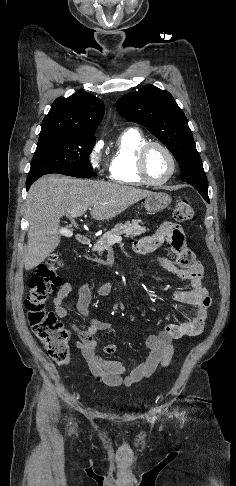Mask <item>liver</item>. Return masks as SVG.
<instances>
[{"label":"liver","instance_id":"6515ba94","mask_svg":"<svg viewBox=\"0 0 236 486\" xmlns=\"http://www.w3.org/2000/svg\"><path fill=\"white\" fill-rule=\"evenodd\" d=\"M151 194L104 181L57 174L41 177L31 186L26 200L29 230L25 269L38 266L56 249L60 243V218L72 210L92 207L95 220H109Z\"/></svg>","mask_w":236,"mask_h":486}]
</instances>
